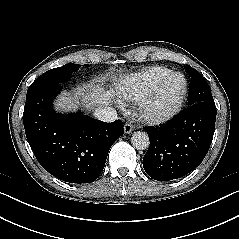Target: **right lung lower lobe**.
Returning a JSON list of instances; mask_svg holds the SVG:
<instances>
[{
	"instance_id": "1",
	"label": "right lung lower lobe",
	"mask_w": 239,
	"mask_h": 239,
	"mask_svg": "<svg viewBox=\"0 0 239 239\" xmlns=\"http://www.w3.org/2000/svg\"><path fill=\"white\" fill-rule=\"evenodd\" d=\"M62 85L27 93L23 123L38 162L53 176L70 183H91L102 172L123 123H105L81 113L61 115L52 108Z\"/></svg>"
}]
</instances>
